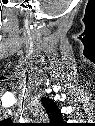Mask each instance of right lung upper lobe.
<instances>
[{
    "label": "right lung upper lobe",
    "instance_id": "cb5924a9",
    "mask_svg": "<svg viewBox=\"0 0 95 126\" xmlns=\"http://www.w3.org/2000/svg\"><path fill=\"white\" fill-rule=\"evenodd\" d=\"M41 102L45 108L46 113L48 114L50 122H52L50 125L61 126L65 124L61 115V111L53 100L43 97Z\"/></svg>",
    "mask_w": 95,
    "mask_h": 126
}]
</instances>
